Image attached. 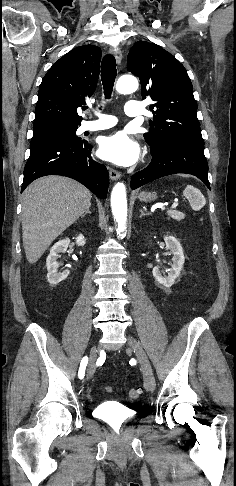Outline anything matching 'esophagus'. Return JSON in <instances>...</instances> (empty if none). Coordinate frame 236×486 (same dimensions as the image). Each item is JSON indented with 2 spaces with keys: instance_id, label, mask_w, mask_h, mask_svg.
Returning <instances> with one entry per match:
<instances>
[{
  "instance_id": "esophagus-1",
  "label": "esophagus",
  "mask_w": 236,
  "mask_h": 486,
  "mask_svg": "<svg viewBox=\"0 0 236 486\" xmlns=\"http://www.w3.org/2000/svg\"><path fill=\"white\" fill-rule=\"evenodd\" d=\"M112 54L114 55L117 64H121L122 61V52L120 49H114L112 50ZM109 176L113 181H116L121 178V173L117 170H114L112 168L109 169Z\"/></svg>"
}]
</instances>
